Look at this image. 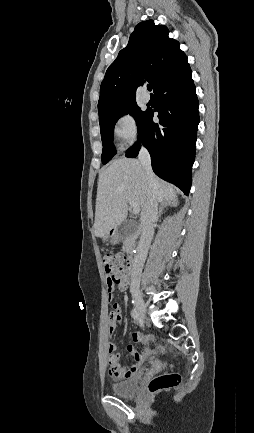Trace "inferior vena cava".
<instances>
[{"instance_id": "obj_1", "label": "inferior vena cava", "mask_w": 254, "mask_h": 433, "mask_svg": "<svg viewBox=\"0 0 254 433\" xmlns=\"http://www.w3.org/2000/svg\"><path fill=\"white\" fill-rule=\"evenodd\" d=\"M138 159L144 171V175L150 189V195L140 216L141 236L138 246L136 248V255L132 264L130 285L131 290H136L140 285L141 271L146 260L151 240L154 234L153 223L158 218V204L152 190L154 174L151 168V158L148 150L143 146L139 151Z\"/></svg>"}]
</instances>
